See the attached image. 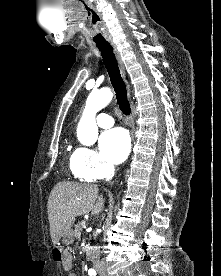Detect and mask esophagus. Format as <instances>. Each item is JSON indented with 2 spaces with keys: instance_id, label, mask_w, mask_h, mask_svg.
Returning <instances> with one entry per match:
<instances>
[{
  "instance_id": "34e87169",
  "label": "esophagus",
  "mask_w": 221,
  "mask_h": 276,
  "mask_svg": "<svg viewBox=\"0 0 221 276\" xmlns=\"http://www.w3.org/2000/svg\"><path fill=\"white\" fill-rule=\"evenodd\" d=\"M110 44L113 48L116 60H117L118 65H119V69H120L121 73L124 75V65H123V62H122V59H121V55H120L116 45L113 42H110ZM126 88H127L128 96L130 97L131 90H130V86L127 82H126Z\"/></svg>"
}]
</instances>
